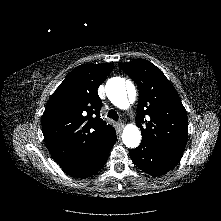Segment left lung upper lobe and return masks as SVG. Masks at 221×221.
<instances>
[{
	"mask_svg": "<svg viewBox=\"0 0 221 221\" xmlns=\"http://www.w3.org/2000/svg\"><path fill=\"white\" fill-rule=\"evenodd\" d=\"M120 67L139 88L135 120L142 140L183 153L188 138L187 112L169 80L145 59L120 63Z\"/></svg>",
	"mask_w": 221,
	"mask_h": 221,
	"instance_id": "left-lung-upper-lobe-1",
	"label": "left lung upper lobe"
}]
</instances>
